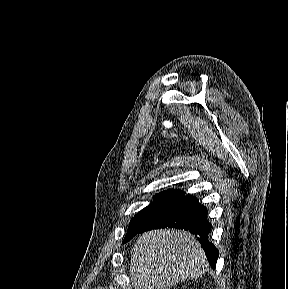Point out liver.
Returning <instances> with one entry per match:
<instances>
[{
	"mask_svg": "<svg viewBox=\"0 0 288 289\" xmlns=\"http://www.w3.org/2000/svg\"><path fill=\"white\" fill-rule=\"evenodd\" d=\"M205 252L196 237L184 230L143 233L131 251L130 278L134 289H170L207 270Z\"/></svg>",
	"mask_w": 288,
	"mask_h": 289,
	"instance_id": "6515ba94",
	"label": "liver"
}]
</instances>
